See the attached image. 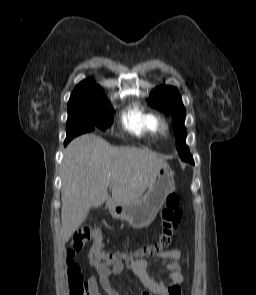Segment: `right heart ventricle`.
Masks as SVG:
<instances>
[{"label": "right heart ventricle", "instance_id": "obj_1", "mask_svg": "<svg viewBox=\"0 0 256 295\" xmlns=\"http://www.w3.org/2000/svg\"><path fill=\"white\" fill-rule=\"evenodd\" d=\"M122 122L125 129L136 136L153 135L159 130L157 117L138 105L124 113Z\"/></svg>", "mask_w": 256, "mask_h": 295}]
</instances>
